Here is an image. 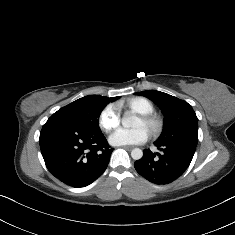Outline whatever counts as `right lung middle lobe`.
<instances>
[{
	"label": "right lung middle lobe",
	"mask_w": 235,
	"mask_h": 235,
	"mask_svg": "<svg viewBox=\"0 0 235 235\" xmlns=\"http://www.w3.org/2000/svg\"><path fill=\"white\" fill-rule=\"evenodd\" d=\"M119 97H115L114 101ZM92 108L87 101L80 98L55 112L50 118L63 119L93 131H101L98 125V117L103 110Z\"/></svg>",
	"instance_id": "obj_1"
}]
</instances>
